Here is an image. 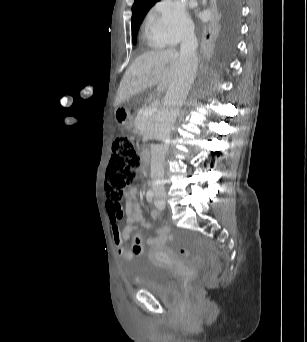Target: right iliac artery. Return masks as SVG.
Returning <instances> with one entry per match:
<instances>
[{
	"label": "right iliac artery",
	"mask_w": 307,
	"mask_h": 342,
	"mask_svg": "<svg viewBox=\"0 0 307 342\" xmlns=\"http://www.w3.org/2000/svg\"><path fill=\"white\" fill-rule=\"evenodd\" d=\"M146 197H147V201L148 202H152L153 200V191L152 190H149L146 194Z\"/></svg>",
	"instance_id": "right-iliac-artery-1"
}]
</instances>
